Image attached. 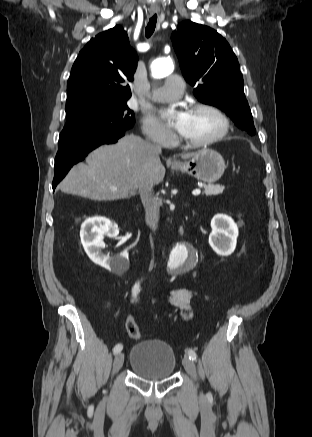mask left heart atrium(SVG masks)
Masks as SVG:
<instances>
[{
    "instance_id": "39dd6f15",
    "label": "left heart atrium",
    "mask_w": 312,
    "mask_h": 437,
    "mask_svg": "<svg viewBox=\"0 0 312 437\" xmlns=\"http://www.w3.org/2000/svg\"><path fill=\"white\" fill-rule=\"evenodd\" d=\"M161 116L165 121H171L174 128L182 134L186 128L189 113L185 111L163 110Z\"/></svg>"
}]
</instances>
